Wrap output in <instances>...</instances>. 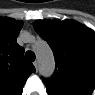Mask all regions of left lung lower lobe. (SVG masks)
<instances>
[{
  "label": "left lung lower lobe",
  "instance_id": "obj_1",
  "mask_svg": "<svg viewBox=\"0 0 95 95\" xmlns=\"http://www.w3.org/2000/svg\"><path fill=\"white\" fill-rule=\"evenodd\" d=\"M49 95H61V94H52L51 92L47 91Z\"/></svg>",
  "mask_w": 95,
  "mask_h": 95
}]
</instances>
